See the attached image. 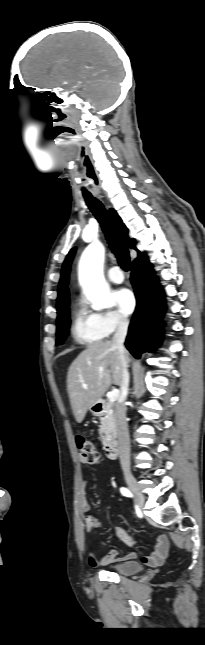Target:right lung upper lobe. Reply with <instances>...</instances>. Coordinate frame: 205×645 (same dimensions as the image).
Wrapping results in <instances>:
<instances>
[{
	"mask_svg": "<svg viewBox=\"0 0 205 645\" xmlns=\"http://www.w3.org/2000/svg\"><path fill=\"white\" fill-rule=\"evenodd\" d=\"M111 214L114 217V221L116 226L118 227V230L120 234L122 235L124 241L126 242L127 246L133 249L135 248L136 242L134 240H131L128 238V229L125 227L123 222L121 221L120 217L116 214L114 209L110 210ZM75 248H73L67 255L63 267H62V272H61V279H60V284L58 287V298H57V313L58 316L62 313V311L69 306V292H68V276H69V270H70V264L73 259L74 253H75ZM146 257L144 253L138 252V258L136 260H139L141 258ZM135 260V261H136Z\"/></svg>",
	"mask_w": 205,
	"mask_h": 645,
	"instance_id": "right-lung-upper-lobe-1",
	"label": "right lung upper lobe"
}]
</instances>
